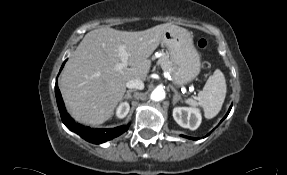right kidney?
I'll return each mask as SVG.
<instances>
[{"label": "right kidney", "instance_id": "1", "mask_svg": "<svg viewBox=\"0 0 287 175\" xmlns=\"http://www.w3.org/2000/svg\"><path fill=\"white\" fill-rule=\"evenodd\" d=\"M129 110H130L129 103L127 102L121 103L116 110L117 118L120 119L124 118L128 114Z\"/></svg>", "mask_w": 287, "mask_h": 175}]
</instances>
